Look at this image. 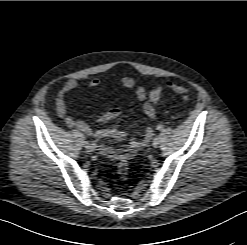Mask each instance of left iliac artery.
I'll use <instances>...</instances> for the list:
<instances>
[{"label": "left iliac artery", "instance_id": "left-iliac-artery-1", "mask_svg": "<svg viewBox=\"0 0 247 245\" xmlns=\"http://www.w3.org/2000/svg\"><path fill=\"white\" fill-rule=\"evenodd\" d=\"M157 129H158V130H162V129H163V125H162V124H159V125L157 126Z\"/></svg>", "mask_w": 247, "mask_h": 245}]
</instances>
